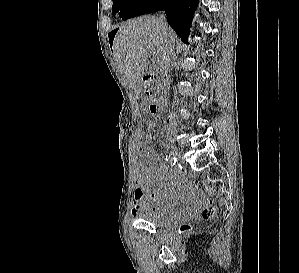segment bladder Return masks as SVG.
<instances>
[{
  "label": "bladder",
  "mask_w": 299,
  "mask_h": 273,
  "mask_svg": "<svg viewBox=\"0 0 299 273\" xmlns=\"http://www.w3.org/2000/svg\"><path fill=\"white\" fill-rule=\"evenodd\" d=\"M137 217L158 229L170 228L180 220V217L175 214L161 215L147 210L140 211Z\"/></svg>",
  "instance_id": "bladder-1"
}]
</instances>
